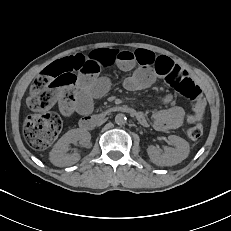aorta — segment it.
<instances>
[{"instance_id": "762f6f07", "label": "aorta", "mask_w": 231, "mask_h": 231, "mask_svg": "<svg viewBox=\"0 0 231 231\" xmlns=\"http://www.w3.org/2000/svg\"><path fill=\"white\" fill-rule=\"evenodd\" d=\"M126 116L123 113H119L115 116V123L118 125H124L126 123Z\"/></svg>"}]
</instances>
